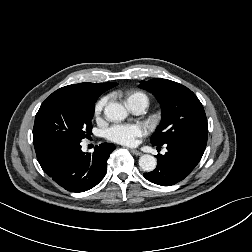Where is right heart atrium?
<instances>
[{"instance_id":"1","label":"right heart atrium","mask_w":252,"mask_h":252,"mask_svg":"<svg viewBox=\"0 0 252 252\" xmlns=\"http://www.w3.org/2000/svg\"><path fill=\"white\" fill-rule=\"evenodd\" d=\"M106 103H107L106 97L101 98L99 101H97V103L95 104V107H94L95 117H99L102 114Z\"/></svg>"}]
</instances>
